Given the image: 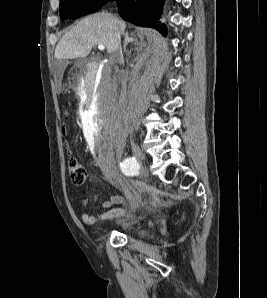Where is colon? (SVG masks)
<instances>
[{
    "instance_id": "colon-1",
    "label": "colon",
    "mask_w": 267,
    "mask_h": 298,
    "mask_svg": "<svg viewBox=\"0 0 267 298\" xmlns=\"http://www.w3.org/2000/svg\"><path fill=\"white\" fill-rule=\"evenodd\" d=\"M68 170L71 182L74 185H83L87 179V171L85 167L75 158L68 160Z\"/></svg>"
}]
</instances>
